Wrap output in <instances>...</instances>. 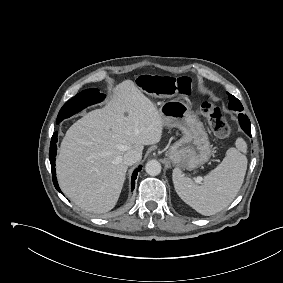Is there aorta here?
<instances>
[{
  "label": "aorta",
  "mask_w": 283,
  "mask_h": 283,
  "mask_svg": "<svg viewBox=\"0 0 283 283\" xmlns=\"http://www.w3.org/2000/svg\"><path fill=\"white\" fill-rule=\"evenodd\" d=\"M145 170L147 174L156 176L161 172V164L157 160H150L146 163Z\"/></svg>",
  "instance_id": "762f6f07"
}]
</instances>
